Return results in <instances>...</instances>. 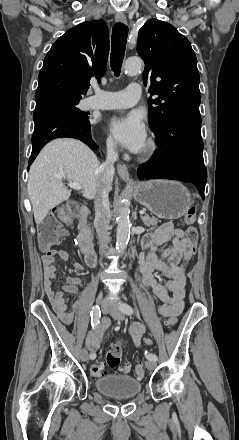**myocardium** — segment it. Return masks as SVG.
I'll return each instance as SVG.
<instances>
[{
    "label": "myocardium",
    "instance_id": "1",
    "mask_svg": "<svg viewBox=\"0 0 239 440\" xmlns=\"http://www.w3.org/2000/svg\"><path fill=\"white\" fill-rule=\"evenodd\" d=\"M157 151H158V144L156 140L154 138H150L147 141L144 149L140 153L139 158L144 161L151 160L152 158L155 157Z\"/></svg>",
    "mask_w": 239,
    "mask_h": 440
}]
</instances>
